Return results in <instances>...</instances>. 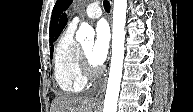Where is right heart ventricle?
I'll list each match as a JSON object with an SVG mask.
<instances>
[{"label":"right heart ventricle","instance_id":"1","mask_svg":"<svg viewBox=\"0 0 193 112\" xmlns=\"http://www.w3.org/2000/svg\"><path fill=\"white\" fill-rule=\"evenodd\" d=\"M75 27L69 25L59 38L54 52V75L60 90L77 94L84 90L87 79L79 65V44L74 39Z\"/></svg>","mask_w":193,"mask_h":112}]
</instances>
